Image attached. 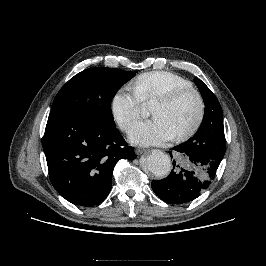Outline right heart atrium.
Returning a JSON list of instances; mask_svg holds the SVG:
<instances>
[{"label": "right heart atrium", "instance_id": "d8ad5b80", "mask_svg": "<svg viewBox=\"0 0 266 266\" xmlns=\"http://www.w3.org/2000/svg\"><path fill=\"white\" fill-rule=\"evenodd\" d=\"M143 102L134 90L118 89L111 99V112L119 127L127 132L141 115Z\"/></svg>", "mask_w": 266, "mask_h": 266}]
</instances>
